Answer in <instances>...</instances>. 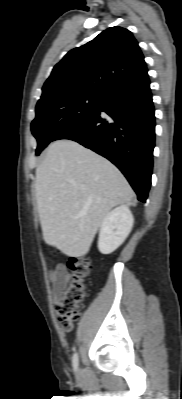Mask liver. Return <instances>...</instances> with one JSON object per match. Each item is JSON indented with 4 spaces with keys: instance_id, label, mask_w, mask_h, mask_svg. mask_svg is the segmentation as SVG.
<instances>
[{
    "instance_id": "obj_1",
    "label": "liver",
    "mask_w": 182,
    "mask_h": 399,
    "mask_svg": "<svg viewBox=\"0 0 182 399\" xmlns=\"http://www.w3.org/2000/svg\"><path fill=\"white\" fill-rule=\"evenodd\" d=\"M35 195L44 241L73 257L88 253L113 207L134 198L112 163L71 140L48 147L36 169Z\"/></svg>"
}]
</instances>
